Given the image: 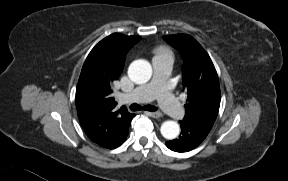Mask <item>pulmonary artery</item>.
I'll list each match as a JSON object with an SVG mask.
<instances>
[{
	"mask_svg": "<svg viewBox=\"0 0 288 181\" xmlns=\"http://www.w3.org/2000/svg\"><path fill=\"white\" fill-rule=\"evenodd\" d=\"M153 68L154 74L151 82L133 90L125 97L134 102H147L152 98H157L159 105L173 119L183 118L184 109L168 88V78L172 71V59L169 57L154 58Z\"/></svg>",
	"mask_w": 288,
	"mask_h": 181,
	"instance_id": "pulmonary-artery-1",
	"label": "pulmonary artery"
}]
</instances>
